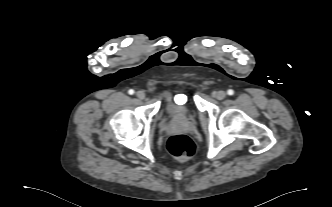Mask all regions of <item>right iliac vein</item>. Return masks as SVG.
<instances>
[{"label":"right iliac vein","instance_id":"63e3f726","mask_svg":"<svg viewBox=\"0 0 332 207\" xmlns=\"http://www.w3.org/2000/svg\"><path fill=\"white\" fill-rule=\"evenodd\" d=\"M136 96L137 98H139L140 100H143L145 98V93L143 91H137L136 92Z\"/></svg>","mask_w":332,"mask_h":207}]
</instances>
